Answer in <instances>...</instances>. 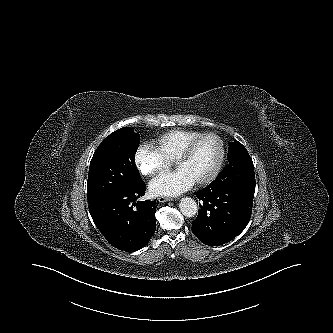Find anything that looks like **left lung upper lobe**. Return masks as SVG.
Returning <instances> with one entry per match:
<instances>
[{
	"instance_id": "1",
	"label": "left lung upper lobe",
	"mask_w": 333,
	"mask_h": 333,
	"mask_svg": "<svg viewBox=\"0 0 333 333\" xmlns=\"http://www.w3.org/2000/svg\"><path fill=\"white\" fill-rule=\"evenodd\" d=\"M228 160L229 163L222 172L231 168L230 172L233 173V182L236 187L254 194V166L247 149L238 141L230 142Z\"/></svg>"
}]
</instances>
